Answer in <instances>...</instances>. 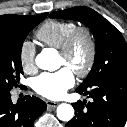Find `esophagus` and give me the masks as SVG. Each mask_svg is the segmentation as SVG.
<instances>
[{"mask_svg": "<svg viewBox=\"0 0 127 127\" xmlns=\"http://www.w3.org/2000/svg\"><path fill=\"white\" fill-rule=\"evenodd\" d=\"M46 104H47V107L48 109H54L55 107L58 106V102H54V101H50V100H47L46 101Z\"/></svg>", "mask_w": 127, "mask_h": 127, "instance_id": "34e87169", "label": "esophagus"}]
</instances>
